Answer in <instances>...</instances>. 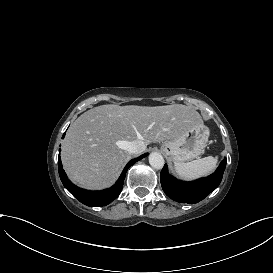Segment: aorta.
I'll return each instance as SVG.
<instances>
[{"mask_svg":"<svg viewBox=\"0 0 273 273\" xmlns=\"http://www.w3.org/2000/svg\"><path fill=\"white\" fill-rule=\"evenodd\" d=\"M164 158L163 156L158 153V152H152L149 155V164L154 168V169H161L164 166Z\"/></svg>","mask_w":273,"mask_h":273,"instance_id":"aorta-1","label":"aorta"}]
</instances>
